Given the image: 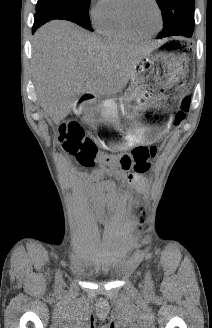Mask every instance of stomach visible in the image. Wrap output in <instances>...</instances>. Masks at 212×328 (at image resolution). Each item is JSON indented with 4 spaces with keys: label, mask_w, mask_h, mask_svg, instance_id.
Returning <instances> with one entry per match:
<instances>
[{
    "label": "stomach",
    "mask_w": 212,
    "mask_h": 328,
    "mask_svg": "<svg viewBox=\"0 0 212 328\" xmlns=\"http://www.w3.org/2000/svg\"><path fill=\"white\" fill-rule=\"evenodd\" d=\"M186 47L165 43L139 61L119 98L108 101L100 116L96 134L106 149L126 150L137 143L162 137L172 121L174 102L187 89L190 59ZM92 123V118H86ZM106 128H111L110 131Z\"/></svg>",
    "instance_id": "1"
}]
</instances>
